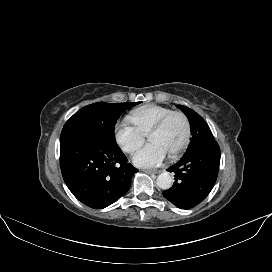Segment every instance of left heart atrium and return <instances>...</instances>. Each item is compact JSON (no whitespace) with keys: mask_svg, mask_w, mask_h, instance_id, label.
Segmentation results:
<instances>
[{"mask_svg":"<svg viewBox=\"0 0 272 272\" xmlns=\"http://www.w3.org/2000/svg\"><path fill=\"white\" fill-rule=\"evenodd\" d=\"M165 157V151L156 142H149L134 154L132 160L140 167H155L160 165Z\"/></svg>","mask_w":272,"mask_h":272,"instance_id":"obj_1","label":"left heart atrium"}]
</instances>
